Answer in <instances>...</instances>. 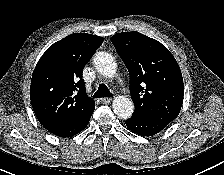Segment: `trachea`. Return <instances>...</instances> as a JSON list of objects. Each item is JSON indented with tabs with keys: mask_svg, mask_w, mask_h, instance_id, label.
<instances>
[{
	"mask_svg": "<svg viewBox=\"0 0 224 175\" xmlns=\"http://www.w3.org/2000/svg\"><path fill=\"white\" fill-rule=\"evenodd\" d=\"M93 97H113V94L110 93L109 89L104 84H100Z\"/></svg>",
	"mask_w": 224,
	"mask_h": 175,
	"instance_id": "3493384b",
	"label": "trachea"
}]
</instances>
